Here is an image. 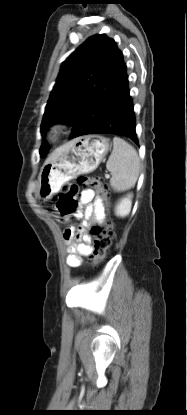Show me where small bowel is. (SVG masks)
Instances as JSON below:
<instances>
[{
	"instance_id": "1",
	"label": "small bowel",
	"mask_w": 187,
	"mask_h": 415,
	"mask_svg": "<svg viewBox=\"0 0 187 415\" xmlns=\"http://www.w3.org/2000/svg\"><path fill=\"white\" fill-rule=\"evenodd\" d=\"M79 202L86 207L83 212L77 214L78 217L97 223L105 219L104 201L100 196L95 195L92 190H83L80 193ZM63 238L69 253L66 259L67 265L73 268L79 267L83 262V258L89 256L92 252L88 236L83 228L76 232L73 227H68L64 230Z\"/></svg>"
}]
</instances>
